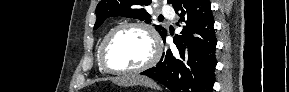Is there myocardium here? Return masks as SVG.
Returning <instances> with one entry per match:
<instances>
[{
  "mask_svg": "<svg viewBox=\"0 0 289 92\" xmlns=\"http://www.w3.org/2000/svg\"><path fill=\"white\" fill-rule=\"evenodd\" d=\"M126 28L143 29L151 39L153 51H152L150 58L144 64L136 68H131V69H117L109 65L107 61V51L114 37ZM161 51H162L161 42L158 37V34L156 33L155 29L150 24L143 22V21H128V22H123L117 25L116 27L111 29L110 32L106 35L100 48L99 61H100L101 67L103 68L105 72L112 73V74H123V75L136 74V73L143 72L151 68L152 66H154L160 58Z\"/></svg>",
  "mask_w": 289,
  "mask_h": 92,
  "instance_id": "myocardium-1",
  "label": "myocardium"
}]
</instances>
